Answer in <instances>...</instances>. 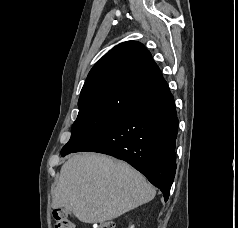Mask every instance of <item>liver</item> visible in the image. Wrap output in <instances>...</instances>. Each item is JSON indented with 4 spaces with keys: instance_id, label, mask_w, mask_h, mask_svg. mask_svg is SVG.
<instances>
[{
    "instance_id": "liver-1",
    "label": "liver",
    "mask_w": 238,
    "mask_h": 228,
    "mask_svg": "<svg viewBox=\"0 0 238 228\" xmlns=\"http://www.w3.org/2000/svg\"><path fill=\"white\" fill-rule=\"evenodd\" d=\"M156 190L129 164L96 153L66 161L52 191V207H65L84 223L115 219L151 201Z\"/></svg>"
}]
</instances>
